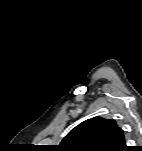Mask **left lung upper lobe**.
Returning a JSON list of instances; mask_svg holds the SVG:
<instances>
[{
    "label": "left lung upper lobe",
    "instance_id": "obj_1",
    "mask_svg": "<svg viewBox=\"0 0 142 151\" xmlns=\"http://www.w3.org/2000/svg\"><path fill=\"white\" fill-rule=\"evenodd\" d=\"M67 151H126L123 130L115 120L94 117L76 126L61 142Z\"/></svg>",
    "mask_w": 142,
    "mask_h": 151
}]
</instances>
